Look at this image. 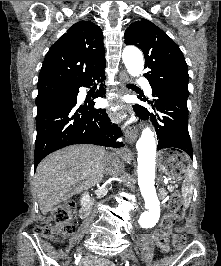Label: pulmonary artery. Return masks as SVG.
Returning <instances> with one entry per match:
<instances>
[{
	"mask_svg": "<svg viewBox=\"0 0 221 266\" xmlns=\"http://www.w3.org/2000/svg\"><path fill=\"white\" fill-rule=\"evenodd\" d=\"M145 89H146L148 94L152 93L151 87L148 84L145 85Z\"/></svg>",
	"mask_w": 221,
	"mask_h": 266,
	"instance_id": "e3ab8cb5",
	"label": "pulmonary artery"
}]
</instances>
